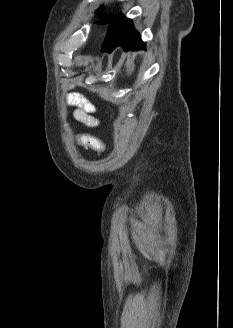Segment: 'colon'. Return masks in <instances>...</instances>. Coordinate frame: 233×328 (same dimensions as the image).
<instances>
[{"label": "colon", "mask_w": 233, "mask_h": 328, "mask_svg": "<svg viewBox=\"0 0 233 328\" xmlns=\"http://www.w3.org/2000/svg\"><path fill=\"white\" fill-rule=\"evenodd\" d=\"M82 144L92 147L96 151L103 150V144L95 137L92 136H82L80 138Z\"/></svg>", "instance_id": "1"}]
</instances>
